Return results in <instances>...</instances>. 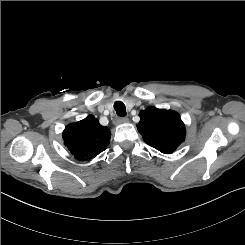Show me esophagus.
<instances>
[{"instance_id":"obj_1","label":"esophagus","mask_w":245,"mask_h":245,"mask_svg":"<svg viewBox=\"0 0 245 245\" xmlns=\"http://www.w3.org/2000/svg\"><path fill=\"white\" fill-rule=\"evenodd\" d=\"M128 121H129V119L126 117H119L115 120V123L116 124H123V123H127Z\"/></svg>"}]
</instances>
